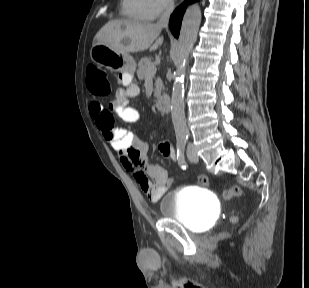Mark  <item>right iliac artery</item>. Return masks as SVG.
Wrapping results in <instances>:
<instances>
[{
  "label": "right iliac artery",
  "instance_id": "1",
  "mask_svg": "<svg viewBox=\"0 0 309 288\" xmlns=\"http://www.w3.org/2000/svg\"><path fill=\"white\" fill-rule=\"evenodd\" d=\"M186 145V139H178L177 141V159L179 161V164L183 169L186 168V162L184 159V149Z\"/></svg>",
  "mask_w": 309,
  "mask_h": 288
}]
</instances>
